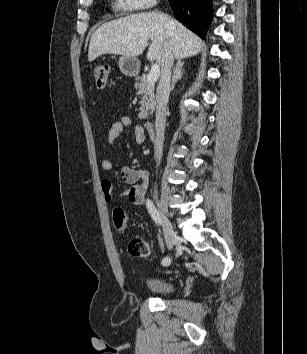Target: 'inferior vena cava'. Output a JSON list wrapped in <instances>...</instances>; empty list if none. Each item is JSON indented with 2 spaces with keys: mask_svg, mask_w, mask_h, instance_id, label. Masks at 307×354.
<instances>
[{
  "mask_svg": "<svg viewBox=\"0 0 307 354\" xmlns=\"http://www.w3.org/2000/svg\"><path fill=\"white\" fill-rule=\"evenodd\" d=\"M174 56L170 44H166L164 48V53L161 59V77L159 84L157 86L156 92V119H155V131H156V140H155V158L159 165L163 141H164V131L166 123V106L170 94V78L171 70L173 66Z\"/></svg>",
  "mask_w": 307,
  "mask_h": 354,
  "instance_id": "obj_1",
  "label": "inferior vena cava"
}]
</instances>
